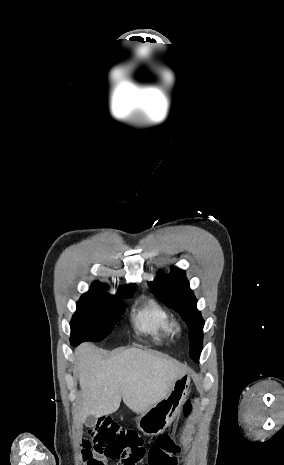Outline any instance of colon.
<instances>
[{
	"label": "colon",
	"mask_w": 284,
	"mask_h": 465,
	"mask_svg": "<svg viewBox=\"0 0 284 465\" xmlns=\"http://www.w3.org/2000/svg\"><path fill=\"white\" fill-rule=\"evenodd\" d=\"M190 404L191 401L188 399L186 405L183 406L184 412L190 411ZM183 419L188 420L189 416L184 415ZM185 427L186 424L182 421L175 423L177 430H182ZM176 429L169 431L171 438L178 436ZM181 435L185 436L186 432L182 431ZM157 441L162 443L164 438L159 436ZM81 446L86 450L82 453V459L87 465H103L100 460L93 458V452L110 460L122 459L121 465H136L145 456L144 440L138 432L123 429L118 423L112 421L90 429L86 435L81 437ZM173 450L175 456L166 454V452ZM149 452L153 455L149 457L150 465H178L180 456L185 454V447H174L172 442L167 440L164 446H151Z\"/></svg>",
	"instance_id": "colon-1"
}]
</instances>
